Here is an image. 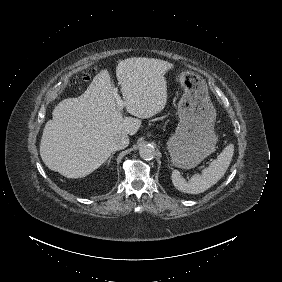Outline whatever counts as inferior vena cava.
<instances>
[{
  "label": "inferior vena cava",
  "instance_id": "obj_1",
  "mask_svg": "<svg viewBox=\"0 0 282 282\" xmlns=\"http://www.w3.org/2000/svg\"><path fill=\"white\" fill-rule=\"evenodd\" d=\"M129 138L127 134H117L112 138V150H121L128 146Z\"/></svg>",
  "mask_w": 282,
  "mask_h": 282
}]
</instances>
